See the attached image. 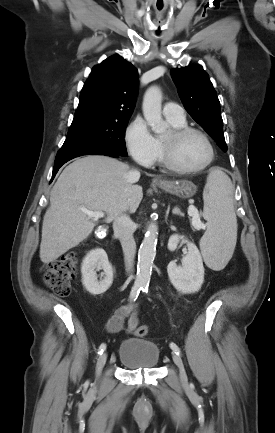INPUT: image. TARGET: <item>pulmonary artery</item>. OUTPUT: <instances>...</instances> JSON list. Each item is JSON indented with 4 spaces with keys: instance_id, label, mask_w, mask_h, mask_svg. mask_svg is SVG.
I'll return each instance as SVG.
<instances>
[{
    "instance_id": "1",
    "label": "pulmonary artery",
    "mask_w": 275,
    "mask_h": 433,
    "mask_svg": "<svg viewBox=\"0 0 275 433\" xmlns=\"http://www.w3.org/2000/svg\"><path fill=\"white\" fill-rule=\"evenodd\" d=\"M163 114L166 118L173 120H184L185 112L184 109L177 103L168 102L163 107Z\"/></svg>"
}]
</instances>
